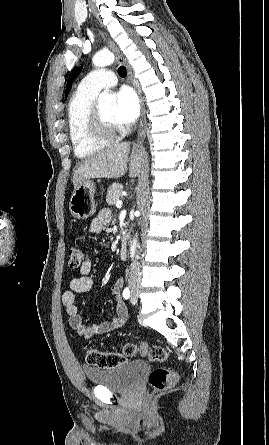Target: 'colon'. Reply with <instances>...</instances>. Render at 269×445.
<instances>
[{
  "label": "colon",
  "instance_id": "5ec220e1",
  "mask_svg": "<svg viewBox=\"0 0 269 445\" xmlns=\"http://www.w3.org/2000/svg\"><path fill=\"white\" fill-rule=\"evenodd\" d=\"M69 266L72 269H79L83 263L84 254L80 247L74 246L69 249ZM140 355L148 357L154 362H165L168 359V352L162 346H152L148 348L146 343L138 345L128 343L124 346L123 352H101L96 350L86 351V362L89 365L110 369L125 364L130 357ZM178 380L177 374L167 368H155L149 375V385L155 392H160L172 387Z\"/></svg>",
  "mask_w": 269,
  "mask_h": 445
}]
</instances>
